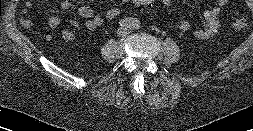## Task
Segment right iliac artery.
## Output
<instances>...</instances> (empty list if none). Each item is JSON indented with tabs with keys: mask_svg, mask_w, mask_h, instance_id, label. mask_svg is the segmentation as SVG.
<instances>
[{
	"mask_svg": "<svg viewBox=\"0 0 253 131\" xmlns=\"http://www.w3.org/2000/svg\"><path fill=\"white\" fill-rule=\"evenodd\" d=\"M133 23H134V20L132 18H125V19L120 20L119 25L121 27H131Z\"/></svg>",
	"mask_w": 253,
	"mask_h": 131,
	"instance_id": "right-iliac-artery-1",
	"label": "right iliac artery"
}]
</instances>
